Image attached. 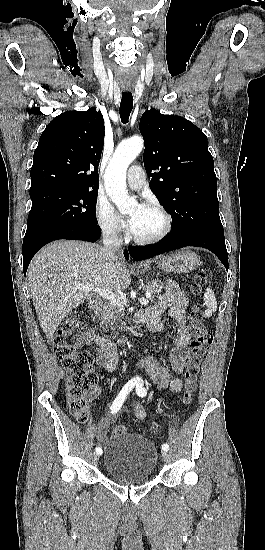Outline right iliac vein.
<instances>
[{
	"mask_svg": "<svg viewBox=\"0 0 265 550\" xmlns=\"http://www.w3.org/2000/svg\"><path fill=\"white\" fill-rule=\"evenodd\" d=\"M92 459H93V461H94V462H97V461H98V459H99V456H98V454H96V453H93V454H92Z\"/></svg>",
	"mask_w": 265,
	"mask_h": 550,
	"instance_id": "63e3f726",
	"label": "right iliac vein"
}]
</instances>
